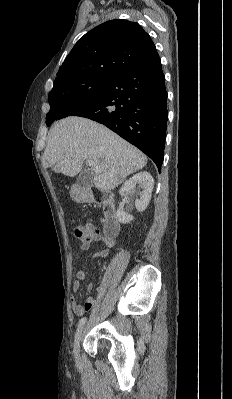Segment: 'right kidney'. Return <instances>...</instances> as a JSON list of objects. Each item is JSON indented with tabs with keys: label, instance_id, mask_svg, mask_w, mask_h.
<instances>
[{
	"label": "right kidney",
	"instance_id": "obj_1",
	"mask_svg": "<svg viewBox=\"0 0 232 399\" xmlns=\"http://www.w3.org/2000/svg\"><path fill=\"white\" fill-rule=\"evenodd\" d=\"M154 188V180L149 172H139L135 174L133 178H129L125 182L124 186L120 188V196H133L135 198V207L138 211L146 209L149 201L151 200V194ZM142 190V192H141ZM117 217L120 223H129L134 219V215L123 211L122 207L117 209Z\"/></svg>",
	"mask_w": 232,
	"mask_h": 399
}]
</instances>
